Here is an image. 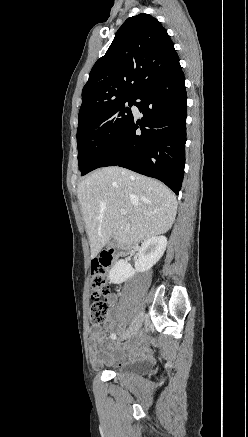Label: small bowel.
Here are the masks:
<instances>
[{
	"mask_svg": "<svg viewBox=\"0 0 248 437\" xmlns=\"http://www.w3.org/2000/svg\"><path fill=\"white\" fill-rule=\"evenodd\" d=\"M108 302L113 308L117 305L116 294L108 296ZM106 328L115 329V322L111 321ZM114 334V333H112ZM111 334V335H112ZM91 361L94 367L113 362H126L135 358H144L149 355L147 339L141 332L134 333L132 338L122 346H113L102 334L99 328H92L89 332Z\"/></svg>",
	"mask_w": 248,
	"mask_h": 437,
	"instance_id": "small-bowel-1",
	"label": "small bowel"
}]
</instances>
